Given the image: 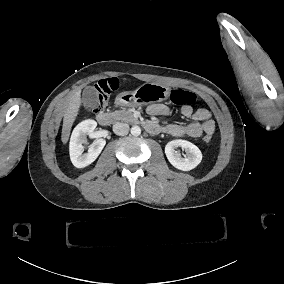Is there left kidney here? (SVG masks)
Segmentation results:
<instances>
[{
    "instance_id": "5707ae66",
    "label": "left kidney",
    "mask_w": 284,
    "mask_h": 284,
    "mask_svg": "<svg viewBox=\"0 0 284 284\" xmlns=\"http://www.w3.org/2000/svg\"><path fill=\"white\" fill-rule=\"evenodd\" d=\"M177 147H182L187 156L180 158L179 152L175 150ZM165 155L170 164L181 171H190L196 168L202 161L200 149L193 143L182 139L172 140L167 143Z\"/></svg>"
}]
</instances>
